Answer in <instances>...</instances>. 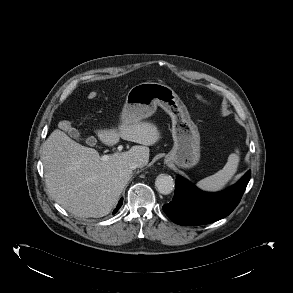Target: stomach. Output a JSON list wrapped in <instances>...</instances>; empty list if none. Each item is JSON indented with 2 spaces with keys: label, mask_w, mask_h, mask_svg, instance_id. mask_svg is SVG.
<instances>
[{
  "label": "stomach",
  "mask_w": 293,
  "mask_h": 293,
  "mask_svg": "<svg viewBox=\"0 0 293 293\" xmlns=\"http://www.w3.org/2000/svg\"><path fill=\"white\" fill-rule=\"evenodd\" d=\"M160 106L172 120L174 146L165 162L191 168L200 159V135L189 112L174 90L161 83L144 82L133 86L122 110L121 122H140L153 115Z\"/></svg>",
  "instance_id": "1"
}]
</instances>
